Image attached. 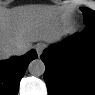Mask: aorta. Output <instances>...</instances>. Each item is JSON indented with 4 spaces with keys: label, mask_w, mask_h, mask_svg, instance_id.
<instances>
[{
    "label": "aorta",
    "mask_w": 95,
    "mask_h": 95,
    "mask_svg": "<svg viewBox=\"0 0 95 95\" xmlns=\"http://www.w3.org/2000/svg\"><path fill=\"white\" fill-rule=\"evenodd\" d=\"M28 70L33 76H41L45 72V64L41 59H35L30 62Z\"/></svg>",
    "instance_id": "aorta-1"
}]
</instances>
